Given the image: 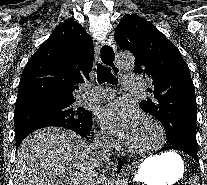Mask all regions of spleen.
<instances>
[{"instance_id":"3e777b00","label":"spleen","mask_w":207,"mask_h":185,"mask_svg":"<svg viewBox=\"0 0 207 185\" xmlns=\"http://www.w3.org/2000/svg\"><path fill=\"white\" fill-rule=\"evenodd\" d=\"M188 185H193V182H188Z\"/></svg>"}]
</instances>
